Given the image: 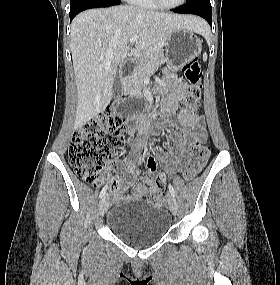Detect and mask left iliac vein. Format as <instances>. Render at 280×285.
<instances>
[{
	"mask_svg": "<svg viewBox=\"0 0 280 285\" xmlns=\"http://www.w3.org/2000/svg\"><path fill=\"white\" fill-rule=\"evenodd\" d=\"M168 207L173 215L177 214V210H178L177 202L173 196H170L168 199Z\"/></svg>",
	"mask_w": 280,
	"mask_h": 285,
	"instance_id": "obj_1",
	"label": "left iliac vein"
}]
</instances>
